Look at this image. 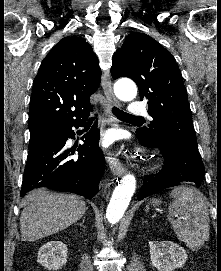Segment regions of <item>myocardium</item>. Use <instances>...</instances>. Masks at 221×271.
Listing matches in <instances>:
<instances>
[{"instance_id":"1","label":"myocardium","mask_w":221,"mask_h":271,"mask_svg":"<svg viewBox=\"0 0 221 271\" xmlns=\"http://www.w3.org/2000/svg\"><path fill=\"white\" fill-rule=\"evenodd\" d=\"M148 165L151 167L153 164L150 162Z\"/></svg>"}]
</instances>
